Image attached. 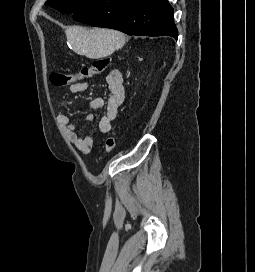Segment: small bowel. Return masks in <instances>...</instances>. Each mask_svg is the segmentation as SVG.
<instances>
[{
    "mask_svg": "<svg viewBox=\"0 0 255 272\" xmlns=\"http://www.w3.org/2000/svg\"><path fill=\"white\" fill-rule=\"evenodd\" d=\"M108 87V99L105 102L102 98H95L91 101L90 106L93 109L105 107L104 114L98 121V130L101 133H107L111 130L113 120L115 119L120 106L124 100V83L123 74L120 70H112L106 77ZM87 81H79L70 86L69 92L71 94H77L87 89ZM87 120L93 118L92 115H88ZM58 122L62 127L69 141L73 146L82 154H88L91 151L93 140L90 135L81 134L77 130V124L74 123L67 114H59Z\"/></svg>",
    "mask_w": 255,
    "mask_h": 272,
    "instance_id": "c3829d8e",
    "label": "small bowel"
}]
</instances>
